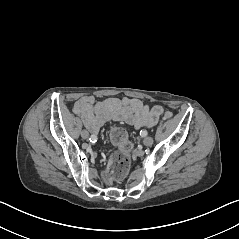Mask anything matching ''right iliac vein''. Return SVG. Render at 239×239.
<instances>
[{
  "instance_id": "right-iliac-vein-1",
  "label": "right iliac vein",
  "mask_w": 239,
  "mask_h": 239,
  "mask_svg": "<svg viewBox=\"0 0 239 239\" xmlns=\"http://www.w3.org/2000/svg\"><path fill=\"white\" fill-rule=\"evenodd\" d=\"M81 137L83 139H87L89 137V132L87 130H82L81 131Z\"/></svg>"
}]
</instances>
